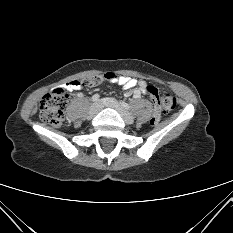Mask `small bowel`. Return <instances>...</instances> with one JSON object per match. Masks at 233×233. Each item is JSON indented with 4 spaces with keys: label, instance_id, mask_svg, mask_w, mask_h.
<instances>
[{
    "label": "small bowel",
    "instance_id": "obj_1",
    "mask_svg": "<svg viewBox=\"0 0 233 233\" xmlns=\"http://www.w3.org/2000/svg\"><path fill=\"white\" fill-rule=\"evenodd\" d=\"M103 80L111 82V91H116L119 84L124 90H127L126 95L128 96L132 95L134 98H139L142 94H147L153 99V95L147 91L148 84L143 80H136L126 76H119L114 71L105 73L103 75ZM61 87L63 90H68L71 93L74 92L75 89L79 90L80 92L86 91V86L76 79L67 83H63Z\"/></svg>",
    "mask_w": 233,
    "mask_h": 233
}]
</instances>
